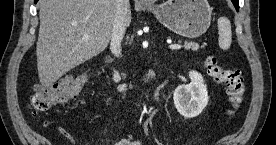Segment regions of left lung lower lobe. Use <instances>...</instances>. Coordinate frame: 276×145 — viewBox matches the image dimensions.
Wrapping results in <instances>:
<instances>
[{
	"mask_svg": "<svg viewBox=\"0 0 276 145\" xmlns=\"http://www.w3.org/2000/svg\"><path fill=\"white\" fill-rule=\"evenodd\" d=\"M231 1L234 4L236 10L239 11V3H238L239 0H231Z\"/></svg>",
	"mask_w": 276,
	"mask_h": 145,
	"instance_id": "0a47b994",
	"label": "left lung lower lobe"
}]
</instances>
